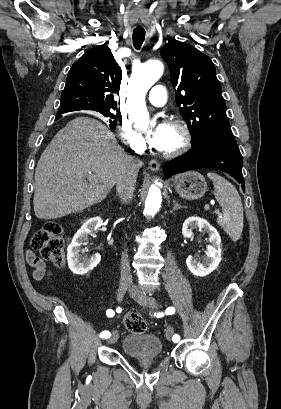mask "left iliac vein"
<instances>
[{
	"label": "left iliac vein",
	"mask_w": 281,
	"mask_h": 409,
	"mask_svg": "<svg viewBox=\"0 0 281 409\" xmlns=\"http://www.w3.org/2000/svg\"><path fill=\"white\" fill-rule=\"evenodd\" d=\"M129 293L134 300H136L140 305L147 306L150 308H158L157 301L150 296L143 294L141 291L138 290L136 286H131L129 288ZM174 329L172 326H169L166 330V337L168 340H171L173 337Z\"/></svg>",
	"instance_id": "left-iliac-vein-1"
}]
</instances>
